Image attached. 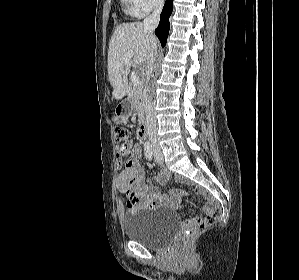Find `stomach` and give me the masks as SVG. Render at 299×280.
<instances>
[{
    "label": "stomach",
    "mask_w": 299,
    "mask_h": 280,
    "mask_svg": "<svg viewBox=\"0 0 299 280\" xmlns=\"http://www.w3.org/2000/svg\"><path fill=\"white\" fill-rule=\"evenodd\" d=\"M132 113V108L129 104H121L117 107L115 115L113 117V121L116 124L124 123L128 120L129 116Z\"/></svg>",
    "instance_id": "1"
}]
</instances>
